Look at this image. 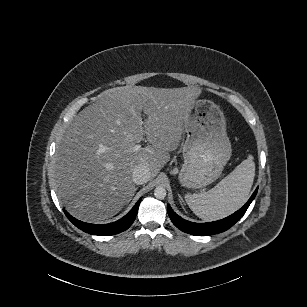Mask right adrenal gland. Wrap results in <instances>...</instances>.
Masks as SVG:
<instances>
[{
	"mask_svg": "<svg viewBox=\"0 0 307 307\" xmlns=\"http://www.w3.org/2000/svg\"><path fill=\"white\" fill-rule=\"evenodd\" d=\"M137 189H138V186L134 188V192H133V194L131 195L130 201H131V199L133 198V195L135 194V192H136Z\"/></svg>",
	"mask_w": 307,
	"mask_h": 307,
	"instance_id": "obj_1",
	"label": "right adrenal gland"
}]
</instances>
